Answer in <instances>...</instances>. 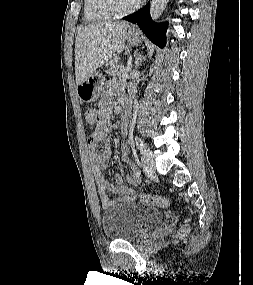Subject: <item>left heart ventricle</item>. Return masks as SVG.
I'll use <instances>...</instances> for the list:
<instances>
[{"label": "left heart ventricle", "mask_w": 253, "mask_h": 285, "mask_svg": "<svg viewBox=\"0 0 253 285\" xmlns=\"http://www.w3.org/2000/svg\"><path fill=\"white\" fill-rule=\"evenodd\" d=\"M116 1V5L120 8V9H126L131 7L137 0H115Z\"/></svg>", "instance_id": "left-heart-ventricle-1"}]
</instances>
